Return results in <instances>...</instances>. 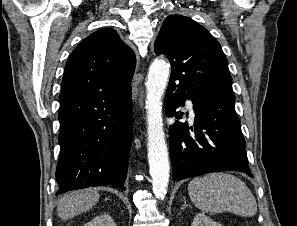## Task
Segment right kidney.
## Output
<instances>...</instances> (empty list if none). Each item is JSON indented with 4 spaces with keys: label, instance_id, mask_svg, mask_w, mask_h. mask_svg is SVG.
<instances>
[{
    "label": "right kidney",
    "instance_id": "right-kidney-1",
    "mask_svg": "<svg viewBox=\"0 0 297 226\" xmlns=\"http://www.w3.org/2000/svg\"><path fill=\"white\" fill-rule=\"evenodd\" d=\"M84 226H116L112 217L108 214H101L94 217L89 223Z\"/></svg>",
    "mask_w": 297,
    "mask_h": 226
}]
</instances>
